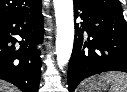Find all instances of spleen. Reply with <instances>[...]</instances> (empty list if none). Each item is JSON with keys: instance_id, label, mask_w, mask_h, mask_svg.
Returning <instances> with one entry per match:
<instances>
[{"instance_id": "3e777b00", "label": "spleen", "mask_w": 127, "mask_h": 92, "mask_svg": "<svg viewBox=\"0 0 127 92\" xmlns=\"http://www.w3.org/2000/svg\"><path fill=\"white\" fill-rule=\"evenodd\" d=\"M111 84L109 92H127V74L121 72H108L99 77Z\"/></svg>"}]
</instances>
